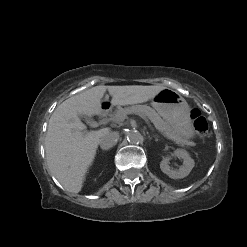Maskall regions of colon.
Instances as JSON below:
<instances>
[{
	"label": "colon",
	"mask_w": 247,
	"mask_h": 247,
	"mask_svg": "<svg viewBox=\"0 0 247 247\" xmlns=\"http://www.w3.org/2000/svg\"><path fill=\"white\" fill-rule=\"evenodd\" d=\"M191 118L196 133L200 137H205L208 134V124L206 119L202 116V114L198 110H193L191 112Z\"/></svg>",
	"instance_id": "1"
}]
</instances>
